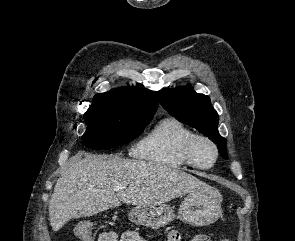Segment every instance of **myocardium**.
Here are the masks:
<instances>
[{
	"instance_id": "obj_1",
	"label": "myocardium",
	"mask_w": 295,
	"mask_h": 241,
	"mask_svg": "<svg viewBox=\"0 0 295 241\" xmlns=\"http://www.w3.org/2000/svg\"><path fill=\"white\" fill-rule=\"evenodd\" d=\"M199 141H204L206 143H208L211 148L213 149L214 152V158L213 161L209 164V165H201L200 163H198L195 159L194 156V150H195V146ZM184 157L187 161L188 164H190L191 166L198 168V169H202V170H207L212 168L218 161L219 158V149L217 144L207 135L204 134H194L185 144L184 146Z\"/></svg>"
}]
</instances>
